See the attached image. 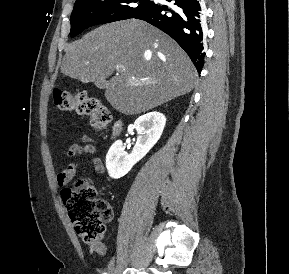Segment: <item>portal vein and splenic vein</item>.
Instances as JSON below:
<instances>
[{
	"label": "portal vein and splenic vein",
	"instance_id": "portal-vein-and-splenic-vein-1",
	"mask_svg": "<svg viewBox=\"0 0 289 274\" xmlns=\"http://www.w3.org/2000/svg\"><path fill=\"white\" fill-rule=\"evenodd\" d=\"M116 70H117V72H121V71L124 70V67H123V66H118V67L116 68Z\"/></svg>",
	"mask_w": 289,
	"mask_h": 274
}]
</instances>
